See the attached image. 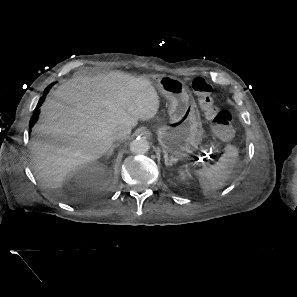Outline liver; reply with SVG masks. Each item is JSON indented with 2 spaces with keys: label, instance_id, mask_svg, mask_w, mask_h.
Instances as JSON below:
<instances>
[{
  "label": "liver",
  "instance_id": "1",
  "mask_svg": "<svg viewBox=\"0 0 297 297\" xmlns=\"http://www.w3.org/2000/svg\"><path fill=\"white\" fill-rule=\"evenodd\" d=\"M53 94L41 107L31 153L42 185L55 191L70 171L109 150L116 129L153 118L160 104L151 81L121 71L75 77Z\"/></svg>",
  "mask_w": 297,
  "mask_h": 297
}]
</instances>
